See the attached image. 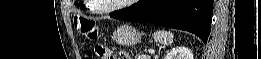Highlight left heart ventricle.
<instances>
[{
  "instance_id": "b2bd125f",
  "label": "left heart ventricle",
  "mask_w": 261,
  "mask_h": 59,
  "mask_svg": "<svg viewBox=\"0 0 261 59\" xmlns=\"http://www.w3.org/2000/svg\"><path fill=\"white\" fill-rule=\"evenodd\" d=\"M94 2L99 8H109L126 1L125 0H96Z\"/></svg>"
}]
</instances>
